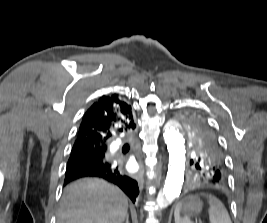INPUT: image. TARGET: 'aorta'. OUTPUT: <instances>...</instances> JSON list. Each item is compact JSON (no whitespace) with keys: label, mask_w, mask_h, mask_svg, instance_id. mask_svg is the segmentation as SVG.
<instances>
[{"label":"aorta","mask_w":267,"mask_h":223,"mask_svg":"<svg viewBox=\"0 0 267 223\" xmlns=\"http://www.w3.org/2000/svg\"><path fill=\"white\" fill-rule=\"evenodd\" d=\"M163 137L169 152V164L164 187L156 196L158 208L168 206L181 194L186 161L185 140L177 120L167 122Z\"/></svg>","instance_id":"1"}]
</instances>
